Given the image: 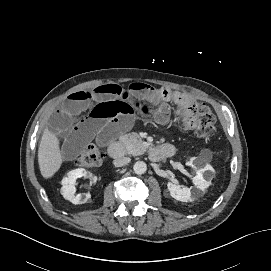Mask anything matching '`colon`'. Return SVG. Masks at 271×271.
I'll return each mask as SVG.
<instances>
[{
    "instance_id": "1",
    "label": "colon",
    "mask_w": 271,
    "mask_h": 271,
    "mask_svg": "<svg viewBox=\"0 0 271 271\" xmlns=\"http://www.w3.org/2000/svg\"><path fill=\"white\" fill-rule=\"evenodd\" d=\"M183 128L194 130L196 137L208 142L214 135V115L204 103L197 102L189 97L183 100ZM103 154L94 144H89L77 159L81 167H98L102 164Z\"/></svg>"
}]
</instances>
